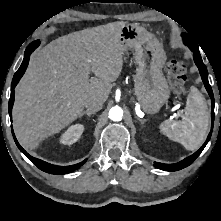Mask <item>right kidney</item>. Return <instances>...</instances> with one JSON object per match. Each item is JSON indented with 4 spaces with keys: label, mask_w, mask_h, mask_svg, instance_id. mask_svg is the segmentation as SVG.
Segmentation results:
<instances>
[{
    "label": "right kidney",
    "mask_w": 221,
    "mask_h": 221,
    "mask_svg": "<svg viewBox=\"0 0 221 221\" xmlns=\"http://www.w3.org/2000/svg\"><path fill=\"white\" fill-rule=\"evenodd\" d=\"M84 131L82 124L70 126L61 136L59 142L65 145H71L79 140Z\"/></svg>",
    "instance_id": "ca27d5eb"
}]
</instances>
